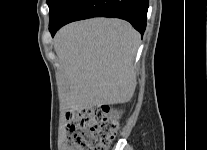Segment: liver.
I'll return each instance as SVG.
<instances>
[{
    "instance_id": "obj_1",
    "label": "liver",
    "mask_w": 207,
    "mask_h": 150,
    "mask_svg": "<svg viewBox=\"0 0 207 150\" xmlns=\"http://www.w3.org/2000/svg\"><path fill=\"white\" fill-rule=\"evenodd\" d=\"M140 34L126 21L93 18L60 29L54 48L63 68L64 104L71 112L128 102L136 88Z\"/></svg>"
}]
</instances>
